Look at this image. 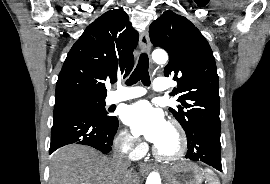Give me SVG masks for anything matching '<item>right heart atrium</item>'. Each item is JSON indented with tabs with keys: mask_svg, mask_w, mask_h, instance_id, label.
<instances>
[{
	"mask_svg": "<svg viewBox=\"0 0 270 184\" xmlns=\"http://www.w3.org/2000/svg\"><path fill=\"white\" fill-rule=\"evenodd\" d=\"M116 141L120 149L132 158L143 153L144 146L126 129L119 133Z\"/></svg>",
	"mask_w": 270,
	"mask_h": 184,
	"instance_id": "1",
	"label": "right heart atrium"
}]
</instances>
